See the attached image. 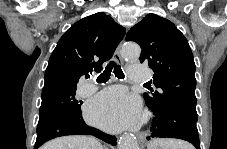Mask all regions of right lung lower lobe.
<instances>
[{
  "instance_id": "right-lung-lower-lobe-1",
  "label": "right lung lower lobe",
  "mask_w": 227,
  "mask_h": 149,
  "mask_svg": "<svg viewBox=\"0 0 227 149\" xmlns=\"http://www.w3.org/2000/svg\"><path fill=\"white\" fill-rule=\"evenodd\" d=\"M65 135H92L111 145H116L117 140L115 136L86 125L82 116L62 115L38 123L34 149L48 140Z\"/></svg>"
}]
</instances>
